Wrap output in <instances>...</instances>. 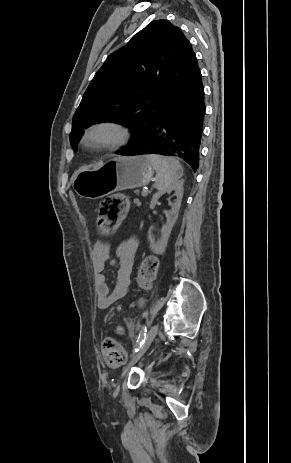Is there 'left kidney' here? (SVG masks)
Listing matches in <instances>:
<instances>
[{
	"mask_svg": "<svg viewBox=\"0 0 291 463\" xmlns=\"http://www.w3.org/2000/svg\"><path fill=\"white\" fill-rule=\"evenodd\" d=\"M171 191H175L177 199H176V202L172 204L171 210L164 212L166 215L167 222L162 227V230H161L162 236H161L160 241L158 242L155 241L151 230L149 231V234H148V239L150 242L151 250L156 254H162L165 251L172 228L178 218V213H179L181 200H182L183 192H184L183 182L178 181L174 183L173 185H171L170 187H168L167 189L161 190L155 193L150 203V209H154L155 204L158 201V199L166 192H171Z\"/></svg>",
	"mask_w": 291,
	"mask_h": 463,
	"instance_id": "1",
	"label": "left kidney"
}]
</instances>
